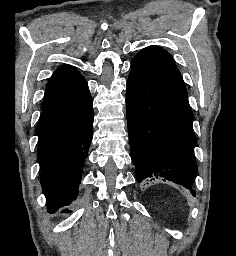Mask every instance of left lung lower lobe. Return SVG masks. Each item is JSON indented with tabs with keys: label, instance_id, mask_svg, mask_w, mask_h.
<instances>
[{
	"label": "left lung lower lobe",
	"instance_id": "1",
	"mask_svg": "<svg viewBox=\"0 0 236 256\" xmlns=\"http://www.w3.org/2000/svg\"><path fill=\"white\" fill-rule=\"evenodd\" d=\"M126 108L138 183L168 180L191 189L197 174L196 136L187 96L131 70Z\"/></svg>",
	"mask_w": 236,
	"mask_h": 256
}]
</instances>
